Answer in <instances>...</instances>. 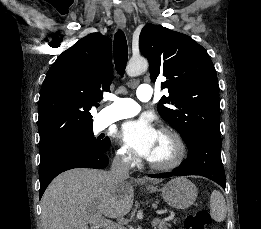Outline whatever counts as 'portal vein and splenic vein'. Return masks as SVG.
<instances>
[{"label": "portal vein and splenic vein", "instance_id": "1", "mask_svg": "<svg viewBox=\"0 0 261 229\" xmlns=\"http://www.w3.org/2000/svg\"><path fill=\"white\" fill-rule=\"evenodd\" d=\"M150 224L157 225L158 221L155 218H152ZM93 229H122V227H120V225H115V223H112L109 219H98L97 227H93Z\"/></svg>", "mask_w": 261, "mask_h": 229}]
</instances>
